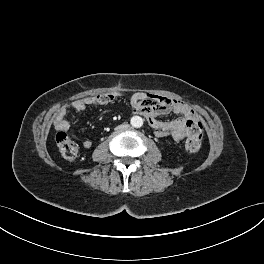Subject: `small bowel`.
I'll list each match as a JSON object with an SVG mask.
<instances>
[{
	"mask_svg": "<svg viewBox=\"0 0 264 264\" xmlns=\"http://www.w3.org/2000/svg\"><path fill=\"white\" fill-rule=\"evenodd\" d=\"M121 95L120 93L109 92L74 101L57 112L55 116L56 129L66 131L68 125L66 115L69 110L84 112L90 106L98 107L110 104ZM130 103L135 113L143 115L147 119L157 137L170 136L176 141L182 140L187 135L188 122L198 120L195 111L189 105L177 99L146 92H136L131 95ZM170 112L178 114L180 117L169 121L157 119L159 115ZM82 146L90 148L92 141L85 139L82 141Z\"/></svg>",
	"mask_w": 264,
	"mask_h": 264,
	"instance_id": "small-bowel-1",
	"label": "small bowel"
}]
</instances>
